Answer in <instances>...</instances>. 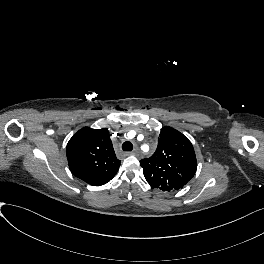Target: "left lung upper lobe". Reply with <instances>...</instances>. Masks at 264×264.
<instances>
[{"mask_svg":"<svg viewBox=\"0 0 264 264\" xmlns=\"http://www.w3.org/2000/svg\"><path fill=\"white\" fill-rule=\"evenodd\" d=\"M140 165L152 188L175 191L183 188L194 176L197 160L191 142L179 131L165 126L160 132L155 153L142 159Z\"/></svg>","mask_w":264,"mask_h":264,"instance_id":"1","label":"left lung upper lobe"}]
</instances>
